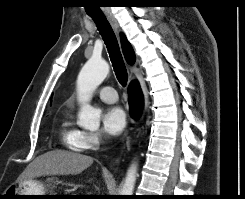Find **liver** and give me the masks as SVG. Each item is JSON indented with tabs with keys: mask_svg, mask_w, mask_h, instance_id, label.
Here are the masks:
<instances>
[{
	"mask_svg": "<svg viewBox=\"0 0 245 199\" xmlns=\"http://www.w3.org/2000/svg\"><path fill=\"white\" fill-rule=\"evenodd\" d=\"M92 163L93 158L90 156L65 150H53L38 156L29 165L23 179L31 180L45 175L79 174Z\"/></svg>",
	"mask_w": 245,
	"mask_h": 199,
	"instance_id": "1",
	"label": "liver"
}]
</instances>
